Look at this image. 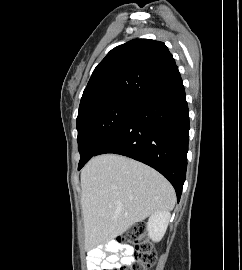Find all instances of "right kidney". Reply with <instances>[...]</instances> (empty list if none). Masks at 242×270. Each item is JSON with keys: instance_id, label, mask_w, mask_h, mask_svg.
Masks as SVG:
<instances>
[{"instance_id": "1", "label": "right kidney", "mask_w": 242, "mask_h": 270, "mask_svg": "<svg viewBox=\"0 0 242 270\" xmlns=\"http://www.w3.org/2000/svg\"><path fill=\"white\" fill-rule=\"evenodd\" d=\"M169 212H155L151 215L147 223L148 236L155 242H159L168 227L170 220Z\"/></svg>"}]
</instances>
